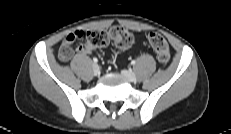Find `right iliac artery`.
<instances>
[{
  "label": "right iliac artery",
  "instance_id": "right-iliac-artery-1",
  "mask_svg": "<svg viewBox=\"0 0 231 134\" xmlns=\"http://www.w3.org/2000/svg\"><path fill=\"white\" fill-rule=\"evenodd\" d=\"M93 61H94V63L98 62L97 58H93Z\"/></svg>",
  "mask_w": 231,
  "mask_h": 134
}]
</instances>
